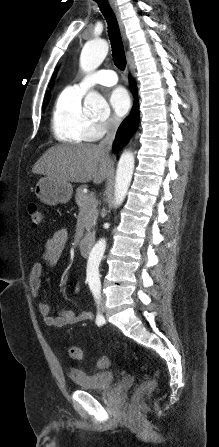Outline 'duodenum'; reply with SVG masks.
Here are the masks:
<instances>
[{"label":"duodenum","instance_id":"obj_1","mask_svg":"<svg viewBox=\"0 0 219 447\" xmlns=\"http://www.w3.org/2000/svg\"><path fill=\"white\" fill-rule=\"evenodd\" d=\"M93 236L91 234H86L80 241L79 248L81 255L83 257H88L90 253V248L92 244Z\"/></svg>","mask_w":219,"mask_h":447}]
</instances>
